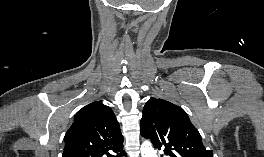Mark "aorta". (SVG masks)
I'll return each instance as SVG.
<instances>
[{"label": "aorta", "mask_w": 264, "mask_h": 157, "mask_svg": "<svg viewBox=\"0 0 264 157\" xmlns=\"http://www.w3.org/2000/svg\"><path fill=\"white\" fill-rule=\"evenodd\" d=\"M142 157H157L156 152L148 142H144L141 146Z\"/></svg>", "instance_id": "762f6f07"}]
</instances>
